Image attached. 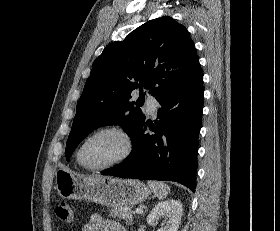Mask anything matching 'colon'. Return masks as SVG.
Here are the masks:
<instances>
[{"label":"colon","mask_w":280,"mask_h":231,"mask_svg":"<svg viewBox=\"0 0 280 231\" xmlns=\"http://www.w3.org/2000/svg\"><path fill=\"white\" fill-rule=\"evenodd\" d=\"M54 212L58 214V219L62 220V225H74L75 221L72 220L73 216L71 215V210L66 206L65 202H61L57 208L54 209Z\"/></svg>","instance_id":"5ec220e1"}]
</instances>
